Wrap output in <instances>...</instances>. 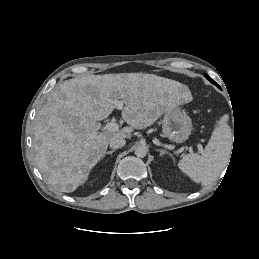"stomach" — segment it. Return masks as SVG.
I'll use <instances>...</instances> for the list:
<instances>
[{"instance_id": "stomach-1", "label": "stomach", "mask_w": 259, "mask_h": 259, "mask_svg": "<svg viewBox=\"0 0 259 259\" xmlns=\"http://www.w3.org/2000/svg\"><path fill=\"white\" fill-rule=\"evenodd\" d=\"M182 92L189 93V89L183 85ZM162 131L169 140L183 143L192 132L191 118L178 108L168 110L164 113Z\"/></svg>"}]
</instances>
